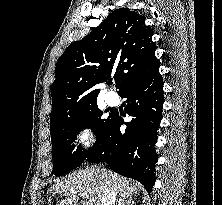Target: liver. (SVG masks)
Listing matches in <instances>:
<instances>
[{"label": "liver", "instance_id": "liver-1", "mask_svg": "<svg viewBox=\"0 0 222 205\" xmlns=\"http://www.w3.org/2000/svg\"><path fill=\"white\" fill-rule=\"evenodd\" d=\"M108 186H113L120 197L127 199L143 189L138 183L129 186L127 179L111 171L86 168L57 181L49 190L64 197L59 205H78L80 197L85 205H101V197Z\"/></svg>", "mask_w": 222, "mask_h": 205}]
</instances>
